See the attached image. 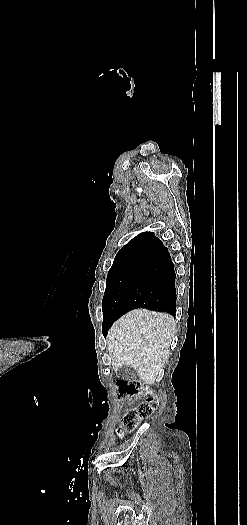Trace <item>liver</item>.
I'll list each match as a JSON object with an SVG mask.
<instances>
[{"instance_id": "liver-1", "label": "liver", "mask_w": 247, "mask_h": 525, "mask_svg": "<svg viewBox=\"0 0 247 525\" xmlns=\"http://www.w3.org/2000/svg\"><path fill=\"white\" fill-rule=\"evenodd\" d=\"M176 323L168 313L133 309L113 323L107 335V353L113 371L131 367L146 385L164 375Z\"/></svg>"}]
</instances>
